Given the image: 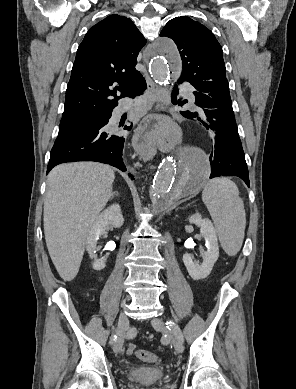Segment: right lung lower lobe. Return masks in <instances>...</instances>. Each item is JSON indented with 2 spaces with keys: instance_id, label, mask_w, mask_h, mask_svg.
I'll return each mask as SVG.
<instances>
[{
  "instance_id": "obj_1",
  "label": "right lung lower lobe",
  "mask_w": 296,
  "mask_h": 389,
  "mask_svg": "<svg viewBox=\"0 0 296 389\" xmlns=\"http://www.w3.org/2000/svg\"><path fill=\"white\" fill-rule=\"evenodd\" d=\"M145 89L146 81L142 78L129 96L140 95ZM110 117L111 113L102 116L92 128L58 137L51 150L47 173L60 163L76 161L101 162L125 172L126 167L122 160L125 137L112 135L105 130L104 126ZM131 128L132 126L125 127L127 130Z\"/></svg>"
}]
</instances>
